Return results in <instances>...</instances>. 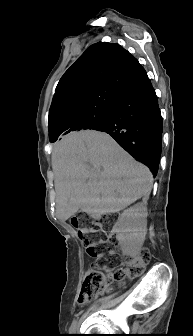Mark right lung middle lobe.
Listing matches in <instances>:
<instances>
[{
    "label": "right lung middle lobe",
    "instance_id": "dd1d6c3e",
    "mask_svg": "<svg viewBox=\"0 0 193 336\" xmlns=\"http://www.w3.org/2000/svg\"><path fill=\"white\" fill-rule=\"evenodd\" d=\"M110 108H104L99 110L91 111L87 114L79 116L75 120V131L85 130V129H101L107 120Z\"/></svg>",
    "mask_w": 193,
    "mask_h": 336
}]
</instances>
